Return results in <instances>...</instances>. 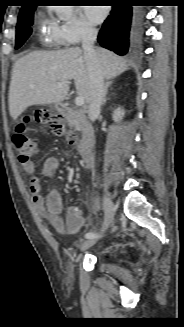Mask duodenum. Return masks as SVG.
Here are the masks:
<instances>
[{
    "label": "duodenum",
    "instance_id": "410a0bca",
    "mask_svg": "<svg viewBox=\"0 0 184 327\" xmlns=\"http://www.w3.org/2000/svg\"><path fill=\"white\" fill-rule=\"evenodd\" d=\"M59 111L62 116L66 118H73L76 120L81 131V139L78 145V153L84 164H90L93 158L95 135L93 128L89 122L86 111L75 110L67 104L60 105Z\"/></svg>",
    "mask_w": 184,
    "mask_h": 327
}]
</instances>
